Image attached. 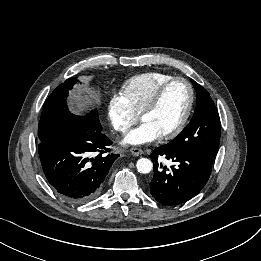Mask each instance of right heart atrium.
<instances>
[{"label":"right heart atrium","instance_id":"1","mask_svg":"<svg viewBox=\"0 0 261 261\" xmlns=\"http://www.w3.org/2000/svg\"><path fill=\"white\" fill-rule=\"evenodd\" d=\"M107 113L110 125L120 133L128 132L139 119V115L122 93H116L110 97Z\"/></svg>","mask_w":261,"mask_h":261}]
</instances>
